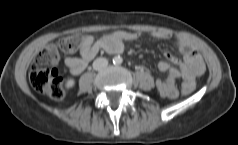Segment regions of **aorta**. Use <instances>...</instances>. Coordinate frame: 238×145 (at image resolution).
<instances>
[{
	"label": "aorta",
	"instance_id": "1",
	"mask_svg": "<svg viewBox=\"0 0 238 145\" xmlns=\"http://www.w3.org/2000/svg\"><path fill=\"white\" fill-rule=\"evenodd\" d=\"M122 58L120 57V56H116V57H114V59H113V62L115 63V64H121L122 63Z\"/></svg>",
	"mask_w": 238,
	"mask_h": 145
}]
</instances>
